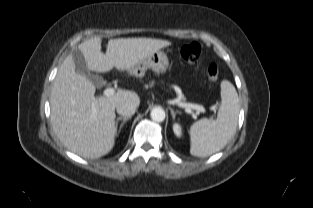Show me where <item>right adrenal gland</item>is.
I'll use <instances>...</instances> for the list:
<instances>
[{
  "label": "right adrenal gland",
  "mask_w": 313,
  "mask_h": 208,
  "mask_svg": "<svg viewBox=\"0 0 313 208\" xmlns=\"http://www.w3.org/2000/svg\"><path fill=\"white\" fill-rule=\"evenodd\" d=\"M129 119H131V117H118V118L116 119V123H115L116 127L118 126V122L122 120V123H121V125H120V127H119V130H118V134L120 133V131H121L122 127L124 126V124H125Z\"/></svg>",
  "instance_id": "obj_1"
}]
</instances>
